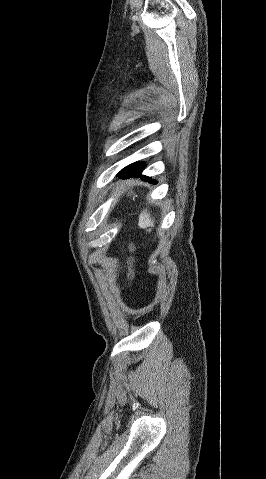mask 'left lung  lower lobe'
Wrapping results in <instances>:
<instances>
[{"label":"left lung lower lobe","mask_w":266,"mask_h":479,"mask_svg":"<svg viewBox=\"0 0 266 479\" xmlns=\"http://www.w3.org/2000/svg\"><path fill=\"white\" fill-rule=\"evenodd\" d=\"M144 168H145V164L142 163L138 167H130V168H127L126 170H123V171L121 170L117 174V176H119L121 179H127V178H130V177H141L143 180L155 184L156 183L155 180L151 179L148 176H144V175L141 174Z\"/></svg>","instance_id":"obj_1"}]
</instances>
